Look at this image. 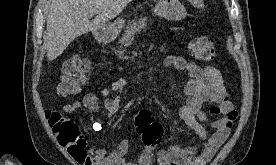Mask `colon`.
<instances>
[{"label": "colon", "mask_w": 276, "mask_h": 165, "mask_svg": "<svg viewBox=\"0 0 276 165\" xmlns=\"http://www.w3.org/2000/svg\"><path fill=\"white\" fill-rule=\"evenodd\" d=\"M191 51L197 59L203 61H211L216 56L215 47L207 37L195 39L191 43ZM89 69V61L79 55L68 59L63 65L57 87L58 94L62 97L78 94ZM48 121L60 144L77 147L82 145L81 129L75 120L65 118L60 112L52 111ZM133 126L145 146L154 147L160 142L163 134L162 126L149 110L139 111L134 117Z\"/></svg>", "instance_id": "5ec220e1"}]
</instances>
